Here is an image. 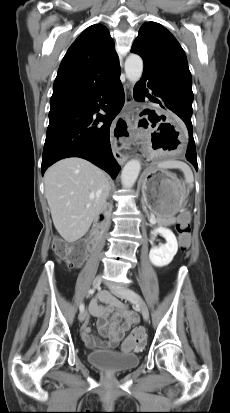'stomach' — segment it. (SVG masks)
<instances>
[{"instance_id": "stomach-1", "label": "stomach", "mask_w": 230, "mask_h": 413, "mask_svg": "<svg viewBox=\"0 0 230 413\" xmlns=\"http://www.w3.org/2000/svg\"><path fill=\"white\" fill-rule=\"evenodd\" d=\"M142 194L148 209L162 222L182 208L187 190L175 174L152 166L144 172Z\"/></svg>"}]
</instances>
